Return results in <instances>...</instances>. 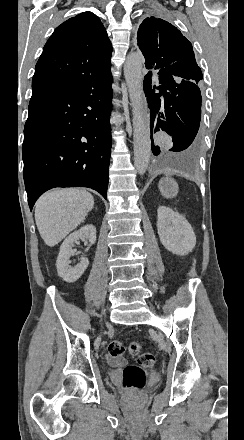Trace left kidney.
I'll use <instances>...</instances> for the list:
<instances>
[{"label": "left kidney", "instance_id": "obj_1", "mask_svg": "<svg viewBox=\"0 0 244 440\" xmlns=\"http://www.w3.org/2000/svg\"><path fill=\"white\" fill-rule=\"evenodd\" d=\"M157 230L161 244L178 256H186L196 246V236L186 218L167 206L157 210Z\"/></svg>", "mask_w": 244, "mask_h": 440}]
</instances>
